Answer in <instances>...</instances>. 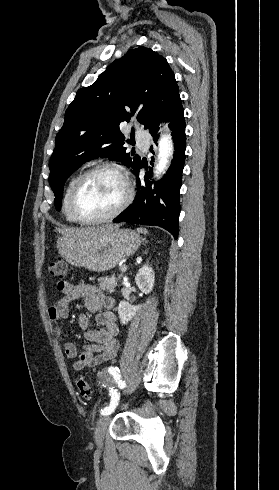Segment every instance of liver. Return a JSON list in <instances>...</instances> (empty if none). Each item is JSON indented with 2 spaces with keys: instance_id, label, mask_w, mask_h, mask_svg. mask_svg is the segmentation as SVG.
<instances>
[{
  "instance_id": "1",
  "label": "liver",
  "mask_w": 279,
  "mask_h": 490,
  "mask_svg": "<svg viewBox=\"0 0 279 490\" xmlns=\"http://www.w3.org/2000/svg\"><path fill=\"white\" fill-rule=\"evenodd\" d=\"M117 230L118 226H99V228H68V230H58L62 236H68L73 240H79V238H86V236H92V234H107L109 230Z\"/></svg>"
}]
</instances>
